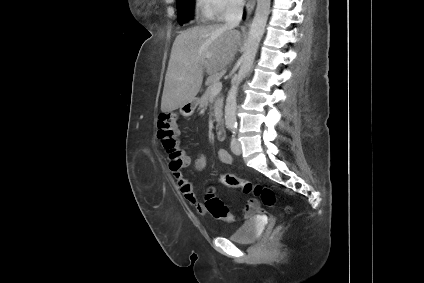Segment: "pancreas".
Here are the masks:
<instances>
[{
  "mask_svg": "<svg viewBox=\"0 0 424 283\" xmlns=\"http://www.w3.org/2000/svg\"><path fill=\"white\" fill-rule=\"evenodd\" d=\"M219 78V74L212 75L207 79V90L200 99V107H206L210 102L213 103L214 116L216 121L220 120L222 107H223V97L221 95H212L210 86Z\"/></svg>",
  "mask_w": 424,
  "mask_h": 283,
  "instance_id": "pancreas-1",
  "label": "pancreas"
}]
</instances>
